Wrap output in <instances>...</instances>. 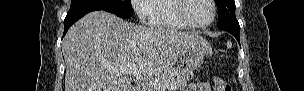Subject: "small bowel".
<instances>
[{
	"instance_id": "1",
	"label": "small bowel",
	"mask_w": 304,
	"mask_h": 91,
	"mask_svg": "<svg viewBox=\"0 0 304 91\" xmlns=\"http://www.w3.org/2000/svg\"><path fill=\"white\" fill-rule=\"evenodd\" d=\"M186 91H209V84L207 82H202L198 84H193L185 87Z\"/></svg>"
}]
</instances>
